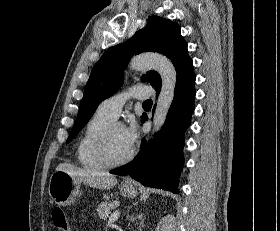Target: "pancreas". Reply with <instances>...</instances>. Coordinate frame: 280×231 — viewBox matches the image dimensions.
<instances>
[{"mask_svg": "<svg viewBox=\"0 0 280 231\" xmlns=\"http://www.w3.org/2000/svg\"><path fill=\"white\" fill-rule=\"evenodd\" d=\"M117 205H119V201H102V203H98L97 211L99 217L106 219L109 213H111L110 207H117Z\"/></svg>", "mask_w": 280, "mask_h": 231, "instance_id": "obj_1", "label": "pancreas"}]
</instances>
